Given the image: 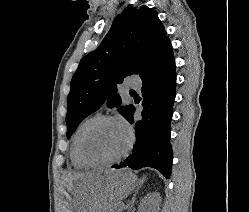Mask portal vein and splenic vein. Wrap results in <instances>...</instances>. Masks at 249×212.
I'll return each mask as SVG.
<instances>
[{"label":"portal vein and splenic vein","instance_id":"18ae733b","mask_svg":"<svg viewBox=\"0 0 249 212\" xmlns=\"http://www.w3.org/2000/svg\"><path fill=\"white\" fill-rule=\"evenodd\" d=\"M117 212H121V210H117Z\"/></svg>","mask_w":249,"mask_h":212}]
</instances>
